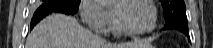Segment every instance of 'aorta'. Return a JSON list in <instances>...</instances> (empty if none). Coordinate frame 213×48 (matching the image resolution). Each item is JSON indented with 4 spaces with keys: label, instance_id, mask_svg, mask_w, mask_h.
Here are the masks:
<instances>
[{
    "label": "aorta",
    "instance_id": "1",
    "mask_svg": "<svg viewBox=\"0 0 213 48\" xmlns=\"http://www.w3.org/2000/svg\"><path fill=\"white\" fill-rule=\"evenodd\" d=\"M102 5L112 4L114 0H99Z\"/></svg>",
    "mask_w": 213,
    "mask_h": 48
}]
</instances>
